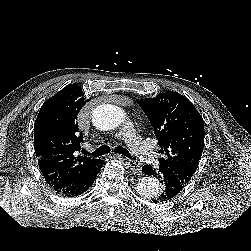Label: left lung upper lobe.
Segmentation results:
<instances>
[{
    "instance_id": "left-lung-upper-lobe-1",
    "label": "left lung upper lobe",
    "mask_w": 251,
    "mask_h": 251,
    "mask_svg": "<svg viewBox=\"0 0 251 251\" xmlns=\"http://www.w3.org/2000/svg\"><path fill=\"white\" fill-rule=\"evenodd\" d=\"M158 139L161 168L184 184L194 175L204 148V123L192 103L177 92L137 99Z\"/></svg>"
}]
</instances>
